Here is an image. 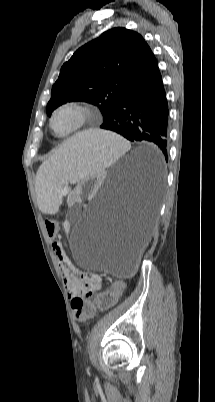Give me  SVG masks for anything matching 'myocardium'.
I'll return each instance as SVG.
<instances>
[{
	"label": "myocardium",
	"mask_w": 215,
	"mask_h": 402,
	"mask_svg": "<svg viewBox=\"0 0 215 402\" xmlns=\"http://www.w3.org/2000/svg\"><path fill=\"white\" fill-rule=\"evenodd\" d=\"M64 111L74 113L76 115L77 120L75 125L70 130L64 133H58L54 127V120L58 114ZM92 114H93L92 109L86 104L76 101L65 102L53 110L49 119V127L52 133L57 137L60 138L71 137L76 133L82 131L88 125L92 117Z\"/></svg>",
	"instance_id": "1"
}]
</instances>
